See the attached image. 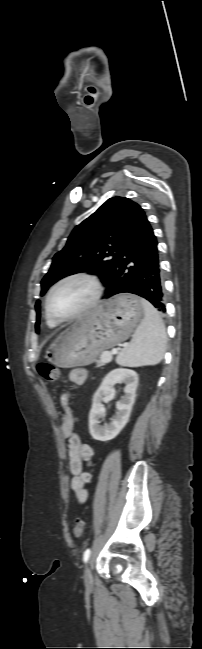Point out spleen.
<instances>
[{"label":"spleen","mask_w":202,"mask_h":649,"mask_svg":"<svg viewBox=\"0 0 202 649\" xmlns=\"http://www.w3.org/2000/svg\"><path fill=\"white\" fill-rule=\"evenodd\" d=\"M144 318L137 326L131 343L116 357L120 366L138 367L158 364L164 355L166 332L159 312L147 300L141 299Z\"/></svg>","instance_id":"obj_1"}]
</instances>
